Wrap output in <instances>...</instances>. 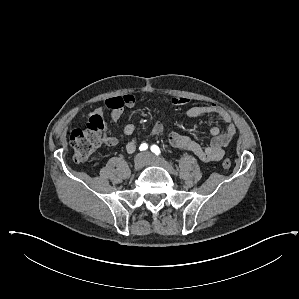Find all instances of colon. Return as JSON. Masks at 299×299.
<instances>
[{
	"label": "colon",
	"mask_w": 299,
	"mask_h": 299,
	"mask_svg": "<svg viewBox=\"0 0 299 299\" xmlns=\"http://www.w3.org/2000/svg\"><path fill=\"white\" fill-rule=\"evenodd\" d=\"M108 140L106 124L99 115H92L83 129H75L70 135V145L73 150V160L76 163L86 162L94 151ZM224 168H230L231 160L222 161Z\"/></svg>",
	"instance_id": "obj_1"
}]
</instances>
